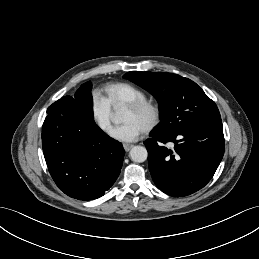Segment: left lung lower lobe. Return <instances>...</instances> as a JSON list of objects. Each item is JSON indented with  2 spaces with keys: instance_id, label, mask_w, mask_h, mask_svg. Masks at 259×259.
Masks as SVG:
<instances>
[{
  "instance_id": "0a47b994",
  "label": "left lung lower lobe",
  "mask_w": 259,
  "mask_h": 259,
  "mask_svg": "<svg viewBox=\"0 0 259 259\" xmlns=\"http://www.w3.org/2000/svg\"><path fill=\"white\" fill-rule=\"evenodd\" d=\"M173 142L169 150L162 143ZM155 184L174 197L190 195L213 177L224 155L222 122L187 129L172 135L155 133L144 142Z\"/></svg>"
}]
</instances>
